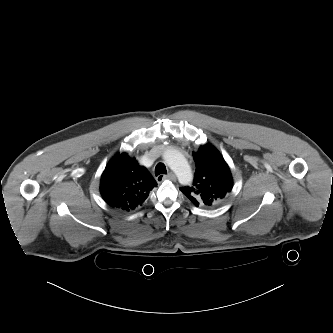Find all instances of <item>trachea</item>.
I'll list each match as a JSON object with an SVG mask.
<instances>
[{
  "instance_id": "3493384b",
  "label": "trachea",
  "mask_w": 333,
  "mask_h": 333,
  "mask_svg": "<svg viewBox=\"0 0 333 333\" xmlns=\"http://www.w3.org/2000/svg\"><path fill=\"white\" fill-rule=\"evenodd\" d=\"M160 174H167L166 167L163 163H158L155 167V176Z\"/></svg>"
}]
</instances>
